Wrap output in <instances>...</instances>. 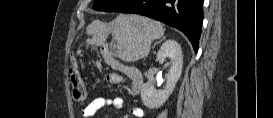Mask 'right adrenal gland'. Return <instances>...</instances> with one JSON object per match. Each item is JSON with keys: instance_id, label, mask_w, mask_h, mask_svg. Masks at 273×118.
<instances>
[{"instance_id": "2a0ac1e0", "label": "right adrenal gland", "mask_w": 273, "mask_h": 118, "mask_svg": "<svg viewBox=\"0 0 273 118\" xmlns=\"http://www.w3.org/2000/svg\"><path fill=\"white\" fill-rule=\"evenodd\" d=\"M162 40H165V37H163L160 41L155 42V43H154V46H155L156 44L162 42ZM154 46H153V47H154Z\"/></svg>"}]
</instances>
